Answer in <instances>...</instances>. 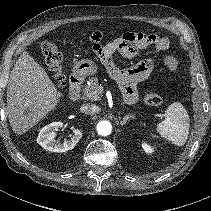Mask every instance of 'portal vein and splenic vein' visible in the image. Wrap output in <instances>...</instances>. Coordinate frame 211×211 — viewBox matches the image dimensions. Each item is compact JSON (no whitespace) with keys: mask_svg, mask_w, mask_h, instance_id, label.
I'll use <instances>...</instances> for the list:
<instances>
[{"mask_svg":"<svg viewBox=\"0 0 211 211\" xmlns=\"http://www.w3.org/2000/svg\"><path fill=\"white\" fill-rule=\"evenodd\" d=\"M157 117H159L160 119H162L163 118V115L158 114Z\"/></svg>","mask_w":211,"mask_h":211,"instance_id":"1","label":"portal vein and splenic vein"}]
</instances>
